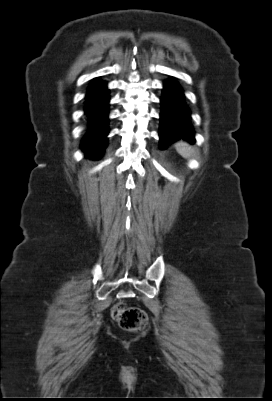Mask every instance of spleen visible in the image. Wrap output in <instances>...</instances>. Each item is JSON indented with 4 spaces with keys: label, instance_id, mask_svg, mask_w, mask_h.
I'll list each match as a JSON object with an SVG mask.
<instances>
[{
    "label": "spleen",
    "instance_id": "obj_1",
    "mask_svg": "<svg viewBox=\"0 0 272 401\" xmlns=\"http://www.w3.org/2000/svg\"><path fill=\"white\" fill-rule=\"evenodd\" d=\"M175 148L180 155L184 158H189L192 155V149L189 145L183 141H179L175 144Z\"/></svg>",
    "mask_w": 272,
    "mask_h": 401
}]
</instances>
